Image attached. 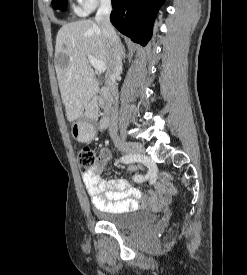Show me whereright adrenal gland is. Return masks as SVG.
Wrapping results in <instances>:
<instances>
[{
	"mask_svg": "<svg viewBox=\"0 0 247 275\" xmlns=\"http://www.w3.org/2000/svg\"><path fill=\"white\" fill-rule=\"evenodd\" d=\"M122 56H123V58H125V57H126V54H125V49H124V47H123V54H122Z\"/></svg>",
	"mask_w": 247,
	"mask_h": 275,
	"instance_id": "2a0ac1e0",
	"label": "right adrenal gland"
}]
</instances>
